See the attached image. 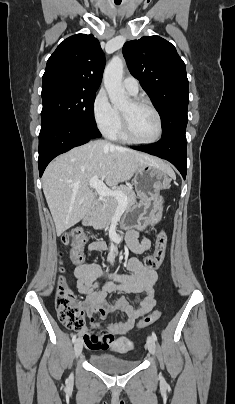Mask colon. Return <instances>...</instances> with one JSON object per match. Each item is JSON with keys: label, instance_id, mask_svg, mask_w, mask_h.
Returning a JSON list of instances; mask_svg holds the SVG:
<instances>
[{"label": "colon", "instance_id": "1", "mask_svg": "<svg viewBox=\"0 0 235 404\" xmlns=\"http://www.w3.org/2000/svg\"><path fill=\"white\" fill-rule=\"evenodd\" d=\"M62 241L65 245L71 246V259L74 264L80 265L84 260L82 247L87 241V235L83 230H71L67 232ZM167 248V236L161 231L156 239L155 251L152 255L145 257L142 264L149 270L158 269L164 261ZM55 307L58 318L62 324L69 329H80L84 322V309L75 301L72 291L67 287L65 277L61 275L56 289ZM162 314L160 309L139 319V327L147 326L157 321ZM89 322L94 323V318L89 317ZM111 342V336L104 334L102 344Z\"/></svg>", "mask_w": 235, "mask_h": 404}]
</instances>
